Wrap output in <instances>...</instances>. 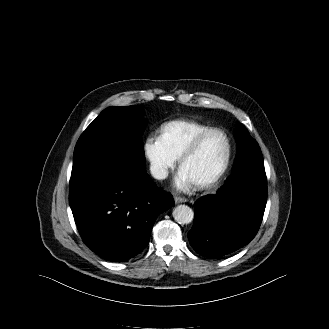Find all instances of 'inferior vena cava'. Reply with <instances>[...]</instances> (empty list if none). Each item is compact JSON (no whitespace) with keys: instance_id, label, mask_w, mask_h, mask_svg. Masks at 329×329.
<instances>
[{"instance_id":"obj_1","label":"inferior vena cava","mask_w":329,"mask_h":329,"mask_svg":"<svg viewBox=\"0 0 329 329\" xmlns=\"http://www.w3.org/2000/svg\"><path fill=\"white\" fill-rule=\"evenodd\" d=\"M150 171L156 179H165L168 176V171L161 164H152Z\"/></svg>"}]
</instances>
